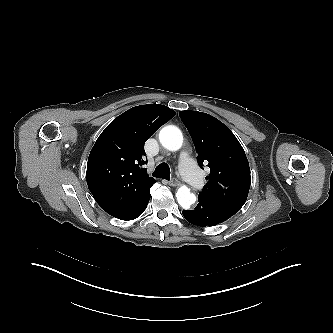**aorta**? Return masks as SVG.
Wrapping results in <instances>:
<instances>
[{"label":"aorta","mask_w":333,"mask_h":333,"mask_svg":"<svg viewBox=\"0 0 333 333\" xmlns=\"http://www.w3.org/2000/svg\"><path fill=\"white\" fill-rule=\"evenodd\" d=\"M161 145L169 151H177L183 144V135L181 130L174 126L168 125L161 129L159 133ZM176 198L179 205L184 209H189L196 201V196L190 189L183 185L176 192Z\"/></svg>","instance_id":"762f6f07"}]
</instances>
